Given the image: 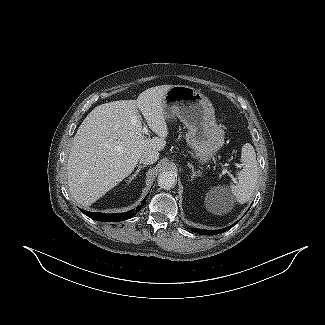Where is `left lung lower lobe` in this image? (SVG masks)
I'll return each mask as SVG.
<instances>
[{"mask_svg": "<svg viewBox=\"0 0 325 325\" xmlns=\"http://www.w3.org/2000/svg\"><path fill=\"white\" fill-rule=\"evenodd\" d=\"M235 224H233V225H231V226H229L227 228L220 229V230H203V229H195V228H192V231L195 232V233H197V234H203V235H217V234H220V233H223V232L229 230Z\"/></svg>", "mask_w": 325, "mask_h": 325, "instance_id": "left-lung-lower-lobe-1", "label": "left lung lower lobe"}]
</instances>
